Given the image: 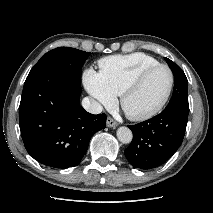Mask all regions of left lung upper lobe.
<instances>
[{
	"label": "left lung upper lobe",
	"instance_id": "5c2ea615",
	"mask_svg": "<svg viewBox=\"0 0 213 213\" xmlns=\"http://www.w3.org/2000/svg\"><path fill=\"white\" fill-rule=\"evenodd\" d=\"M174 74V90L169 103H182L188 105V81L183 70L168 58H165Z\"/></svg>",
	"mask_w": 213,
	"mask_h": 213
}]
</instances>
